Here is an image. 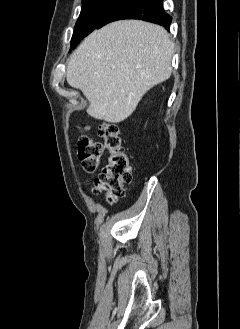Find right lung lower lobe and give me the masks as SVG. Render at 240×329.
Returning <instances> with one entry per match:
<instances>
[{"label": "right lung lower lobe", "mask_w": 240, "mask_h": 329, "mask_svg": "<svg viewBox=\"0 0 240 329\" xmlns=\"http://www.w3.org/2000/svg\"><path fill=\"white\" fill-rule=\"evenodd\" d=\"M163 0H120L96 25L101 28L107 23L121 19H139L169 29L172 18L163 11Z\"/></svg>", "instance_id": "1"}]
</instances>
